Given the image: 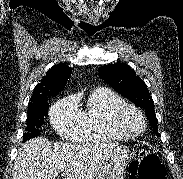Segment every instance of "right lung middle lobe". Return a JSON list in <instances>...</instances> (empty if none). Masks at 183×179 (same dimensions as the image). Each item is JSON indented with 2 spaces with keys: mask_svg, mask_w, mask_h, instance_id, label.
<instances>
[{
  "mask_svg": "<svg viewBox=\"0 0 183 179\" xmlns=\"http://www.w3.org/2000/svg\"><path fill=\"white\" fill-rule=\"evenodd\" d=\"M48 114V103L45 100L41 104L28 106L27 128L23 135V141L40 135L39 128L44 123V117Z\"/></svg>",
  "mask_w": 183,
  "mask_h": 179,
  "instance_id": "right-lung-middle-lobe-1",
  "label": "right lung middle lobe"
}]
</instances>
